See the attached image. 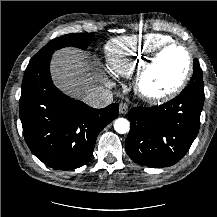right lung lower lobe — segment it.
<instances>
[{
  "label": "right lung lower lobe",
  "instance_id": "right-lung-lower-lobe-1",
  "mask_svg": "<svg viewBox=\"0 0 217 217\" xmlns=\"http://www.w3.org/2000/svg\"><path fill=\"white\" fill-rule=\"evenodd\" d=\"M50 60L26 68L20 119L31 152L51 168L71 170L90 160L99 132L118 116L119 105L94 109L64 95L52 83Z\"/></svg>",
  "mask_w": 217,
  "mask_h": 217
}]
</instances>
